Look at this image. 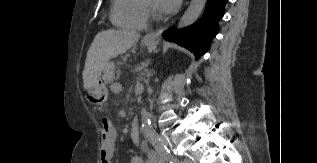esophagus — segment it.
<instances>
[{
	"label": "esophagus",
	"mask_w": 317,
	"mask_h": 163,
	"mask_svg": "<svg viewBox=\"0 0 317 163\" xmlns=\"http://www.w3.org/2000/svg\"><path fill=\"white\" fill-rule=\"evenodd\" d=\"M164 30L165 28H161L159 30L149 32L143 37V40L147 42H154L161 36Z\"/></svg>",
	"instance_id": "34e87169"
}]
</instances>
